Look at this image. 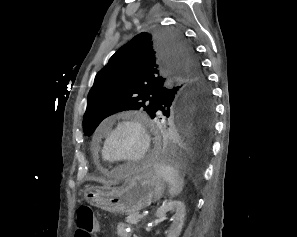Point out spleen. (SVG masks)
I'll use <instances>...</instances> for the list:
<instances>
[{"mask_svg":"<svg viewBox=\"0 0 297 237\" xmlns=\"http://www.w3.org/2000/svg\"><path fill=\"white\" fill-rule=\"evenodd\" d=\"M156 175L169 184V194L171 197L178 196L184 187V178L174 167L166 163H156L154 165Z\"/></svg>","mask_w":297,"mask_h":237,"instance_id":"3e777b00","label":"spleen"}]
</instances>
